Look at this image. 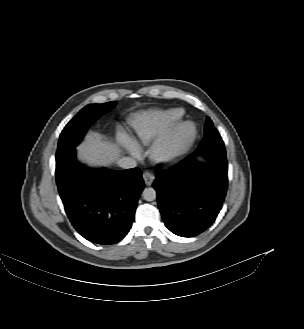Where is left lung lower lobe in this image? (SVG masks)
Returning <instances> with one entry per match:
<instances>
[{"label": "left lung lower lobe", "instance_id": "left-lung-lower-lobe-1", "mask_svg": "<svg viewBox=\"0 0 304 329\" xmlns=\"http://www.w3.org/2000/svg\"><path fill=\"white\" fill-rule=\"evenodd\" d=\"M197 154L208 159L209 167L197 164ZM227 169L224 142L213 128L194 153L156 174L153 187L164 223L171 232L194 237L215 221L227 191Z\"/></svg>", "mask_w": 304, "mask_h": 329}]
</instances>
